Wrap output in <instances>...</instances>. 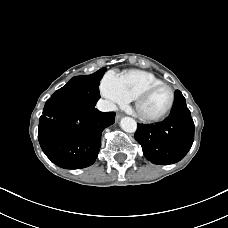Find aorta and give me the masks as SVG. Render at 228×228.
I'll return each instance as SVG.
<instances>
[{"mask_svg":"<svg viewBox=\"0 0 228 228\" xmlns=\"http://www.w3.org/2000/svg\"><path fill=\"white\" fill-rule=\"evenodd\" d=\"M120 126L127 133H134L137 129V123L131 117L122 118L120 121Z\"/></svg>","mask_w":228,"mask_h":228,"instance_id":"aorta-1","label":"aorta"}]
</instances>
